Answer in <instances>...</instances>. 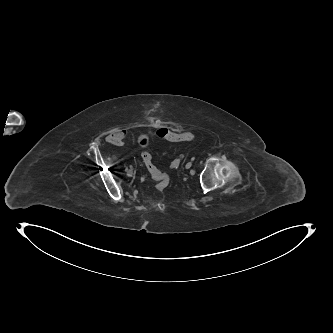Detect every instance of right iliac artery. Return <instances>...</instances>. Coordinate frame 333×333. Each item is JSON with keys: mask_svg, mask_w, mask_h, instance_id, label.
I'll return each mask as SVG.
<instances>
[{"mask_svg": "<svg viewBox=\"0 0 333 333\" xmlns=\"http://www.w3.org/2000/svg\"><path fill=\"white\" fill-rule=\"evenodd\" d=\"M125 171H126V172H129V171H130V169H128V167H126Z\"/></svg>", "mask_w": 333, "mask_h": 333, "instance_id": "obj_1", "label": "right iliac artery"}]
</instances>
